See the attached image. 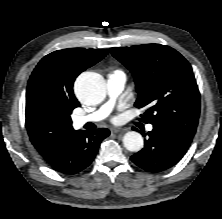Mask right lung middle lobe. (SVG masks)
I'll return each instance as SVG.
<instances>
[{"mask_svg": "<svg viewBox=\"0 0 222 219\" xmlns=\"http://www.w3.org/2000/svg\"><path fill=\"white\" fill-rule=\"evenodd\" d=\"M74 109V107H71L69 108L67 111H68V114H71L72 110Z\"/></svg>", "mask_w": 222, "mask_h": 219, "instance_id": "obj_1", "label": "right lung middle lobe"}]
</instances>
